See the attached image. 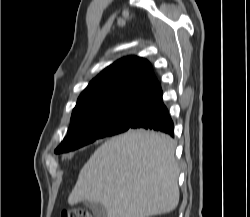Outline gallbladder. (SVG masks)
Returning <instances> with one entry per match:
<instances>
[{"mask_svg": "<svg viewBox=\"0 0 250 217\" xmlns=\"http://www.w3.org/2000/svg\"><path fill=\"white\" fill-rule=\"evenodd\" d=\"M84 205L92 211L94 217H107V210L103 205L89 201L84 202Z\"/></svg>", "mask_w": 250, "mask_h": 217, "instance_id": "gallbladder-1", "label": "gallbladder"}]
</instances>
